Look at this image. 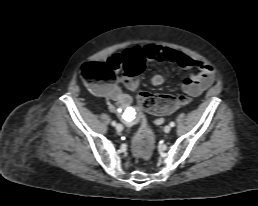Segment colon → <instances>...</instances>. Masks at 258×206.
<instances>
[{"instance_id":"1","label":"colon","mask_w":258,"mask_h":206,"mask_svg":"<svg viewBox=\"0 0 258 206\" xmlns=\"http://www.w3.org/2000/svg\"><path fill=\"white\" fill-rule=\"evenodd\" d=\"M145 58L136 53L127 59L124 67V82L126 86L136 93L139 106L151 113L167 114L189 102L187 96L156 95L139 90L138 76L145 68ZM81 77L85 83L93 88H100L104 84L116 79L115 69L108 63L88 62L81 68ZM155 145V135L145 120L133 140V153L140 160L150 159Z\"/></svg>"}]
</instances>
